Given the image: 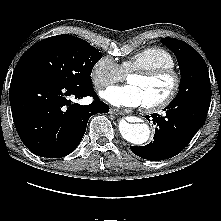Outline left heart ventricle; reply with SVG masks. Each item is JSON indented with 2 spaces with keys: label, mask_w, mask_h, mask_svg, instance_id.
Instances as JSON below:
<instances>
[{
  "label": "left heart ventricle",
  "mask_w": 221,
  "mask_h": 221,
  "mask_svg": "<svg viewBox=\"0 0 221 221\" xmlns=\"http://www.w3.org/2000/svg\"><path fill=\"white\" fill-rule=\"evenodd\" d=\"M128 82L139 90L143 98V105L152 104L165 98L173 85L170 76L144 78L133 75L128 78Z\"/></svg>",
  "instance_id": "1"
}]
</instances>
